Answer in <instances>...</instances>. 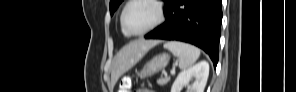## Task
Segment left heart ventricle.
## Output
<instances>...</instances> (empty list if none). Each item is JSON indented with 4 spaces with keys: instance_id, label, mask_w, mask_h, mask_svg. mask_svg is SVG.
Segmentation results:
<instances>
[{
    "instance_id": "obj_1",
    "label": "left heart ventricle",
    "mask_w": 296,
    "mask_h": 92,
    "mask_svg": "<svg viewBox=\"0 0 296 92\" xmlns=\"http://www.w3.org/2000/svg\"><path fill=\"white\" fill-rule=\"evenodd\" d=\"M156 19V7L146 1L132 3L125 13L126 27L132 32L145 30L152 25Z\"/></svg>"
}]
</instances>
